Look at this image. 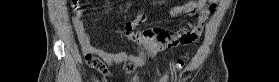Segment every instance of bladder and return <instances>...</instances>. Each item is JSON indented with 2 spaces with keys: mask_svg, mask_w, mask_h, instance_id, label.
Masks as SVG:
<instances>
[{
  "mask_svg": "<svg viewBox=\"0 0 279 82\" xmlns=\"http://www.w3.org/2000/svg\"><path fill=\"white\" fill-rule=\"evenodd\" d=\"M140 77L139 76H131L130 81H139Z\"/></svg>",
  "mask_w": 279,
  "mask_h": 82,
  "instance_id": "1",
  "label": "bladder"
}]
</instances>
